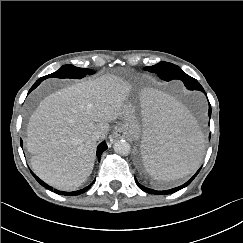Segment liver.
I'll list each match as a JSON object with an SVG mask.
<instances>
[{
	"label": "liver",
	"mask_w": 243,
	"mask_h": 243,
	"mask_svg": "<svg viewBox=\"0 0 243 243\" xmlns=\"http://www.w3.org/2000/svg\"><path fill=\"white\" fill-rule=\"evenodd\" d=\"M130 86L107 75L78 82L43 99L27 127V150L33 171L64 191L79 188L95 161L96 131L104 138L109 122L121 117Z\"/></svg>",
	"instance_id": "6515ba94"
}]
</instances>
